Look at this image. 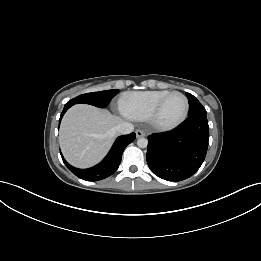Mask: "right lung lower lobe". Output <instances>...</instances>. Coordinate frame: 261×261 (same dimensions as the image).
<instances>
[{"label":"right lung lower lobe","instance_id":"obj_1","mask_svg":"<svg viewBox=\"0 0 261 261\" xmlns=\"http://www.w3.org/2000/svg\"><path fill=\"white\" fill-rule=\"evenodd\" d=\"M69 108L70 106H64V109L59 119V123L63 115ZM135 138V133L118 137L115 143L113 144L111 150L106 155V157L99 164L88 169L75 168L71 166L69 163H67L66 160L63 159V156L62 159L67 168L77 177L86 181H98L111 176L118 169L124 149L127 145L132 143Z\"/></svg>","mask_w":261,"mask_h":261}]
</instances>
